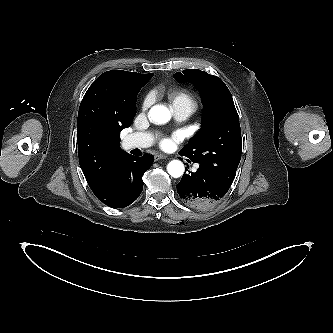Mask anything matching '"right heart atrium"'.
Here are the masks:
<instances>
[{
    "label": "right heart atrium",
    "instance_id": "obj_1",
    "mask_svg": "<svg viewBox=\"0 0 333 333\" xmlns=\"http://www.w3.org/2000/svg\"><path fill=\"white\" fill-rule=\"evenodd\" d=\"M152 97L148 95L143 102V108H148L149 105L151 104Z\"/></svg>",
    "mask_w": 333,
    "mask_h": 333
}]
</instances>
